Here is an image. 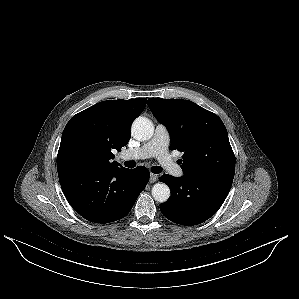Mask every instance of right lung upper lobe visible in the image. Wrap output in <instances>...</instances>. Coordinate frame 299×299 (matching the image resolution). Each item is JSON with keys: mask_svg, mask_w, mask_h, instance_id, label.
Masks as SVG:
<instances>
[{"mask_svg": "<svg viewBox=\"0 0 299 299\" xmlns=\"http://www.w3.org/2000/svg\"><path fill=\"white\" fill-rule=\"evenodd\" d=\"M147 100H107L73 116L64 128L57 155L58 174L90 173L122 167L114 159L130 140V126Z\"/></svg>", "mask_w": 299, "mask_h": 299, "instance_id": "cb5924a9", "label": "right lung upper lobe"}]
</instances>
